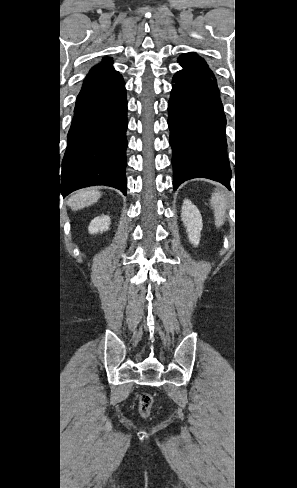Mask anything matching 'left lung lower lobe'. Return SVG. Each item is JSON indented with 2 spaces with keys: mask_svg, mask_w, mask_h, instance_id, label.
<instances>
[{
  "mask_svg": "<svg viewBox=\"0 0 297 488\" xmlns=\"http://www.w3.org/2000/svg\"><path fill=\"white\" fill-rule=\"evenodd\" d=\"M173 82L168 125L174 190L184 181L199 177L230 188L226 118L219 93L181 71Z\"/></svg>",
  "mask_w": 297,
  "mask_h": 488,
  "instance_id": "obj_1",
  "label": "left lung lower lobe"
}]
</instances>
